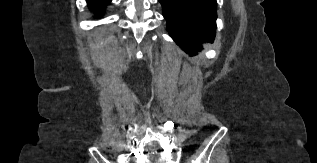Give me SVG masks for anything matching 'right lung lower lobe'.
Segmentation results:
<instances>
[{
    "mask_svg": "<svg viewBox=\"0 0 317 163\" xmlns=\"http://www.w3.org/2000/svg\"><path fill=\"white\" fill-rule=\"evenodd\" d=\"M87 2L92 9L101 13L103 8L109 4L111 0H87Z\"/></svg>",
    "mask_w": 317,
    "mask_h": 163,
    "instance_id": "1",
    "label": "right lung lower lobe"
}]
</instances>
